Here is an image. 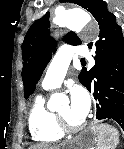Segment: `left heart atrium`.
I'll return each instance as SVG.
<instances>
[{
  "mask_svg": "<svg viewBox=\"0 0 124 149\" xmlns=\"http://www.w3.org/2000/svg\"><path fill=\"white\" fill-rule=\"evenodd\" d=\"M70 110L74 117L85 119L90 111V98L80 86L72 88L70 93Z\"/></svg>",
  "mask_w": 124,
  "mask_h": 149,
  "instance_id": "obj_1",
  "label": "left heart atrium"
}]
</instances>
